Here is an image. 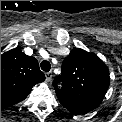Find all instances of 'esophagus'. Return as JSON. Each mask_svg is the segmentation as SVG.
Returning <instances> with one entry per match:
<instances>
[{"mask_svg":"<svg viewBox=\"0 0 122 122\" xmlns=\"http://www.w3.org/2000/svg\"><path fill=\"white\" fill-rule=\"evenodd\" d=\"M45 77H46V81L47 82L51 81V79H52V73L51 72L46 73Z\"/></svg>","mask_w":122,"mask_h":122,"instance_id":"1","label":"esophagus"}]
</instances>
